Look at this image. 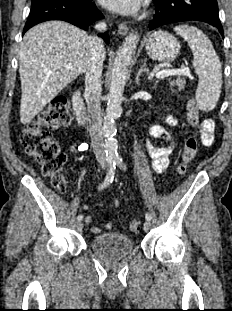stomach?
<instances>
[{
    "mask_svg": "<svg viewBox=\"0 0 232 311\" xmlns=\"http://www.w3.org/2000/svg\"><path fill=\"white\" fill-rule=\"evenodd\" d=\"M178 40L166 31H154L148 37L145 49L156 61H172L180 53Z\"/></svg>",
    "mask_w": 232,
    "mask_h": 311,
    "instance_id": "stomach-1",
    "label": "stomach"
}]
</instances>
